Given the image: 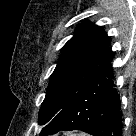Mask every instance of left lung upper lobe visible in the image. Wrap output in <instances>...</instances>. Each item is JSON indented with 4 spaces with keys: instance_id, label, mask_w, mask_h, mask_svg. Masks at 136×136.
<instances>
[{
    "instance_id": "5c2ea615",
    "label": "left lung upper lobe",
    "mask_w": 136,
    "mask_h": 136,
    "mask_svg": "<svg viewBox=\"0 0 136 136\" xmlns=\"http://www.w3.org/2000/svg\"><path fill=\"white\" fill-rule=\"evenodd\" d=\"M102 26L81 25L62 48L59 62L50 77L39 113L46 125L76 95L83 84L107 61L111 50Z\"/></svg>"
}]
</instances>
